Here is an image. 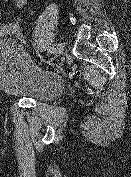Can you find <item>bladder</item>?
Returning <instances> with one entry per match:
<instances>
[{"label": "bladder", "mask_w": 131, "mask_h": 177, "mask_svg": "<svg viewBox=\"0 0 131 177\" xmlns=\"http://www.w3.org/2000/svg\"><path fill=\"white\" fill-rule=\"evenodd\" d=\"M0 90L7 95L49 101L64 91V79L38 66L14 39L0 41Z\"/></svg>", "instance_id": "bladder-1"}]
</instances>
